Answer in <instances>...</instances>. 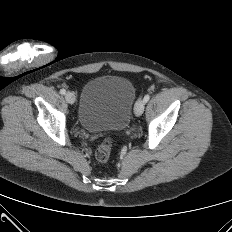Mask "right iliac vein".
Wrapping results in <instances>:
<instances>
[{
    "mask_svg": "<svg viewBox=\"0 0 232 232\" xmlns=\"http://www.w3.org/2000/svg\"><path fill=\"white\" fill-rule=\"evenodd\" d=\"M65 99L69 104H74L75 103V95L72 92H67L65 94Z\"/></svg>",
    "mask_w": 232,
    "mask_h": 232,
    "instance_id": "1",
    "label": "right iliac vein"
}]
</instances>
